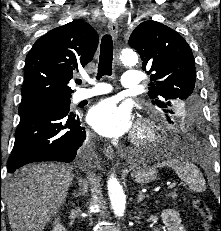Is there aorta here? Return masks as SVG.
Segmentation results:
<instances>
[{"mask_svg":"<svg viewBox=\"0 0 221 231\" xmlns=\"http://www.w3.org/2000/svg\"><path fill=\"white\" fill-rule=\"evenodd\" d=\"M119 60L124 65L134 66L138 62V56L133 49L126 48L121 51ZM107 188L114 214L123 217L126 197L120 182L114 176H111L107 182Z\"/></svg>","mask_w":221,"mask_h":231,"instance_id":"1","label":"aorta"}]
</instances>
